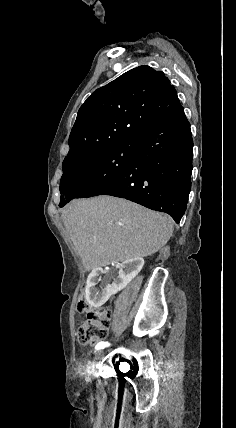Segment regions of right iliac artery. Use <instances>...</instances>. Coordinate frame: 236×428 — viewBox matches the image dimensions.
Instances as JSON below:
<instances>
[{
    "mask_svg": "<svg viewBox=\"0 0 236 428\" xmlns=\"http://www.w3.org/2000/svg\"><path fill=\"white\" fill-rule=\"evenodd\" d=\"M110 346V344L108 342H99L96 346L95 349L100 350V349H104L105 347Z\"/></svg>",
    "mask_w": 236,
    "mask_h": 428,
    "instance_id": "1",
    "label": "right iliac artery"
}]
</instances>
